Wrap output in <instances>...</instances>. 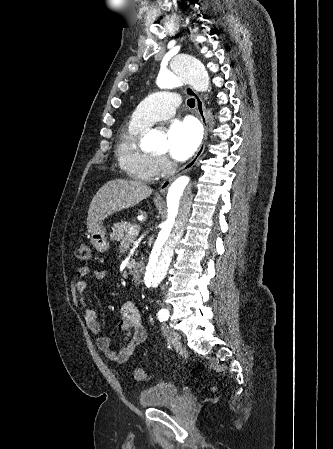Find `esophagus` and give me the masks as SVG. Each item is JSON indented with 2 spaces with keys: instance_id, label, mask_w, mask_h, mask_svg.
Instances as JSON below:
<instances>
[{
  "instance_id": "obj_1",
  "label": "esophagus",
  "mask_w": 333,
  "mask_h": 449,
  "mask_svg": "<svg viewBox=\"0 0 333 449\" xmlns=\"http://www.w3.org/2000/svg\"><path fill=\"white\" fill-rule=\"evenodd\" d=\"M186 93L190 97L195 99L196 111H197L200 121L202 122V124L204 126L205 133H204L203 142L200 145V147L198 148V150L196 151L194 157L185 166L182 167L179 174H184L192 169V167L195 165V163L198 161V159L204 152L206 141H207V136H208V118H207V114H206V107H205V104H204L201 96L191 86L186 87ZM174 179H175V177H171V178L165 180L160 185L159 192L161 194H164Z\"/></svg>"
}]
</instances>
